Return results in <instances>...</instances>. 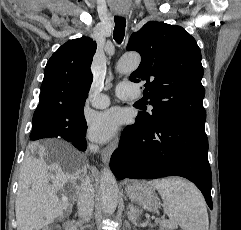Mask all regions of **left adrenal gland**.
<instances>
[{
    "mask_svg": "<svg viewBox=\"0 0 241 230\" xmlns=\"http://www.w3.org/2000/svg\"><path fill=\"white\" fill-rule=\"evenodd\" d=\"M128 218L129 220L136 226H138V220H139V215H140V212L139 210L133 205V204H130L128 206Z\"/></svg>",
    "mask_w": 241,
    "mask_h": 230,
    "instance_id": "obj_1",
    "label": "left adrenal gland"
}]
</instances>
